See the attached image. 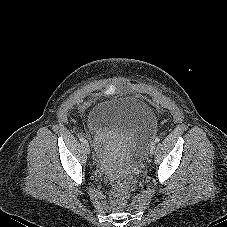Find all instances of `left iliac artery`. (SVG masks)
<instances>
[{"mask_svg":"<svg viewBox=\"0 0 227 227\" xmlns=\"http://www.w3.org/2000/svg\"><path fill=\"white\" fill-rule=\"evenodd\" d=\"M159 141H160L159 138H156V139H155V143H158Z\"/></svg>","mask_w":227,"mask_h":227,"instance_id":"1","label":"left iliac artery"}]
</instances>
